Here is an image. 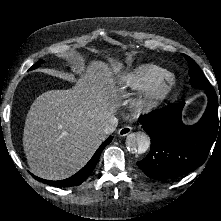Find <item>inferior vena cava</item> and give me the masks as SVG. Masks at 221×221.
Instances as JSON below:
<instances>
[{
  "label": "inferior vena cava",
  "instance_id": "obj_1",
  "mask_svg": "<svg viewBox=\"0 0 221 221\" xmlns=\"http://www.w3.org/2000/svg\"><path fill=\"white\" fill-rule=\"evenodd\" d=\"M117 124H118V120L116 117H114V116L109 117L105 123L103 130H102V134L109 135V134L113 133L117 127Z\"/></svg>",
  "mask_w": 221,
  "mask_h": 221
}]
</instances>
